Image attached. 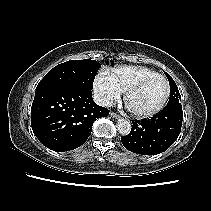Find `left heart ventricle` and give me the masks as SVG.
<instances>
[{
	"instance_id": "left-heart-ventricle-1",
	"label": "left heart ventricle",
	"mask_w": 211,
	"mask_h": 211,
	"mask_svg": "<svg viewBox=\"0 0 211 211\" xmlns=\"http://www.w3.org/2000/svg\"><path fill=\"white\" fill-rule=\"evenodd\" d=\"M166 94V83L154 79L128 98L129 106L136 111L146 112L157 107Z\"/></svg>"
}]
</instances>
